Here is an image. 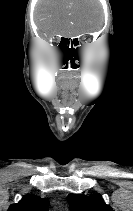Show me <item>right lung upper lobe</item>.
<instances>
[{"mask_svg": "<svg viewBox=\"0 0 133 211\" xmlns=\"http://www.w3.org/2000/svg\"><path fill=\"white\" fill-rule=\"evenodd\" d=\"M8 211H48V199L26 195L19 203L10 205Z\"/></svg>", "mask_w": 133, "mask_h": 211, "instance_id": "1", "label": "right lung upper lobe"}]
</instances>
